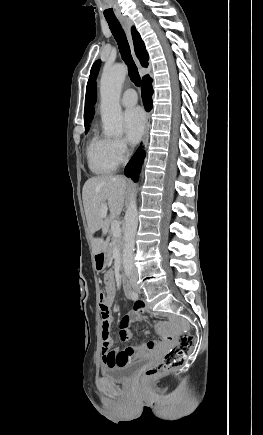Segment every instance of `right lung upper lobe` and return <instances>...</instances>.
<instances>
[{
    "mask_svg": "<svg viewBox=\"0 0 263 435\" xmlns=\"http://www.w3.org/2000/svg\"><path fill=\"white\" fill-rule=\"evenodd\" d=\"M131 31H132L133 41H134L135 53H136L137 57L139 58L141 64L144 67H147L149 56H148V53L146 51L144 42L142 41L140 34L135 29V27H132ZM95 102H96V87H94L93 98L91 100V104L94 105ZM91 114L93 115V107L91 109H89V106L86 105V107L84 109V124H85L86 131L88 129V121H89Z\"/></svg>",
    "mask_w": 263,
    "mask_h": 435,
    "instance_id": "cb5924a9",
    "label": "right lung upper lobe"
}]
</instances>
